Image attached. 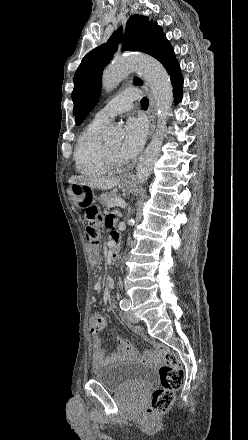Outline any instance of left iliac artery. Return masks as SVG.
<instances>
[{
  "label": "left iliac artery",
  "mask_w": 248,
  "mask_h": 440,
  "mask_svg": "<svg viewBox=\"0 0 248 440\" xmlns=\"http://www.w3.org/2000/svg\"><path fill=\"white\" fill-rule=\"evenodd\" d=\"M130 306H131V303H130V301L128 299L123 298V299L120 300V307H121L122 310L127 311V310L130 309Z\"/></svg>",
  "instance_id": "1"
}]
</instances>
